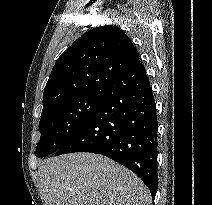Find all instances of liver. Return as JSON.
Instances as JSON below:
<instances>
[{
  "label": "liver",
  "mask_w": 212,
  "mask_h": 205,
  "mask_svg": "<svg viewBox=\"0 0 212 205\" xmlns=\"http://www.w3.org/2000/svg\"><path fill=\"white\" fill-rule=\"evenodd\" d=\"M38 176L45 205H145L149 200L140 178L99 154L49 158Z\"/></svg>",
  "instance_id": "obj_1"
}]
</instances>
